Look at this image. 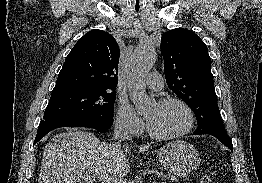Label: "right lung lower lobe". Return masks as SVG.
<instances>
[{"label": "right lung lower lobe", "mask_w": 262, "mask_h": 183, "mask_svg": "<svg viewBox=\"0 0 262 183\" xmlns=\"http://www.w3.org/2000/svg\"><path fill=\"white\" fill-rule=\"evenodd\" d=\"M113 124V119H84V118H51L42 120L38 127L37 136L35 142H38L43 138L48 132L59 127H89L94 128L99 132H106Z\"/></svg>", "instance_id": "98d812e1"}]
</instances>
